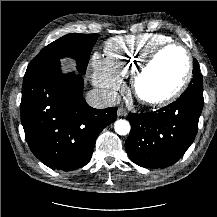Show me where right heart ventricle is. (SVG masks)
Here are the masks:
<instances>
[{
    "label": "right heart ventricle",
    "instance_id": "e07e8e85",
    "mask_svg": "<svg viewBox=\"0 0 217 217\" xmlns=\"http://www.w3.org/2000/svg\"><path fill=\"white\" fill-rule=\"evenodd\" d=\"M169 42L170 37L156 33L117 36L106 42L105 60L115 75L129 77L155 48Z\"/></svg>",
    "mask_w": 217,
    "mask_h": 217
}]
</instances>
